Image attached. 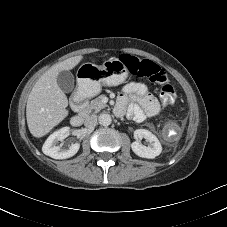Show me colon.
Instances as JSON below:
<instances>
[{"label":"colon","mask_w":227,"mask_h":227,"mask_svg":"<svg viewBox=\"0 0 227 227\" xmlns=\"http://www.w3.org/2000/svg\"><path fill=\"white\" fill-rule=\"evenodd\" d=\"M124 64L132 75L148 78L161 84L160 98L166 105H173L177 100V94L172 84L168 82L166 72L154 62L145 60L138 61L133 57H125Z\"/></svg>","instance_id":"obj_1"}]
</instances>
